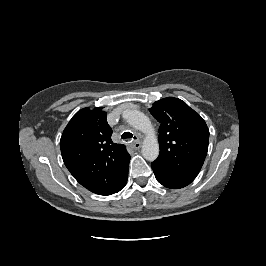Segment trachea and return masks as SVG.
I'll return each mask as SVG.
<instances>
[{
    "label": "trachea",
    "mask_w": 266,
    "mask_h": 266,
    "mask_svg": "<svg viewBox=\"0 0 266 266\" xmlns=\"http://www.w3.org/2000/svg\"><path fill=\"white\" fill-rule=\"evenodd\" d=\"M121 138H122V139H132V138L136 139V137L133 136V134L130 133V132H124V133L122 134Z\"/></svg>",
    "instance_id": "obj_1"
}]
</instances>
